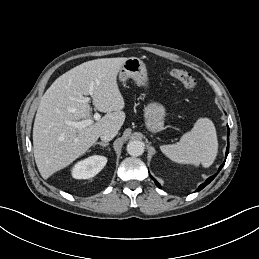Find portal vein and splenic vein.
I'll return each instance as SVG.
<instances>
[{
  "mask_svg": "<svg viewBox=\"0 0 259 259\" xmlns=\"http://www.w3.org/2000/svg\"><path fill=\"white\" fill-rule=\"evenodd\" d=\"M85 101L89 102L90 98L89 97H85ZM100 118H101V115L98 112H95L94 113V119L96 121H98V120H100ZM92 122L93 121L91 119H86V120H82V121H79V122H76V121H66V124L69 125V126H72L74 128H77L78 130H81L82 128L91 125Z\"/></svg>",
  "mask_w": 259,
  "mask_h": 259,
  "instance_id": "18ae733b",
  "label": "portal vein and splenic vein"
}]
</instances>
